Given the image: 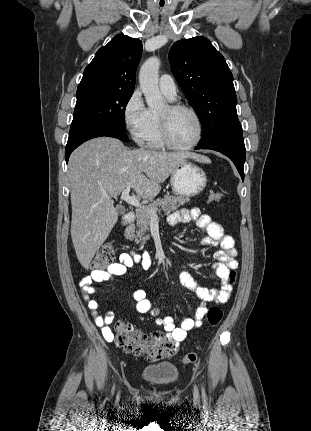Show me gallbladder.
Wrapping results in <instances>:
<instances>
[{
    "mask_svg": "<svg viewBox=\"0 0 311 431\" xmlns=\"http://www.w3.org/2000/svg\"><path fill=\"white\" fill-rule=\"evenodd\" d=\"M116 210H118V212H126L125 208H123V206H116Z\"/></svg>",
    "mask_w": 311,
    "mask_h": 431,
    "instance_id": "obj_1",
    "label": "gallbladder"
}]
</instances>
